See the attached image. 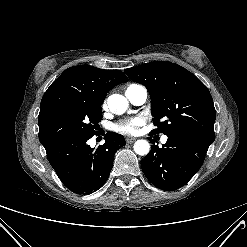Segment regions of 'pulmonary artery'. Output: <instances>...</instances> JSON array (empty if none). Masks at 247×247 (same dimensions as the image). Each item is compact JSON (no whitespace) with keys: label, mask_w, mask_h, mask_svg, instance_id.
<instances>
[{"label":"pulmonary artery","mask_w":247,"mask_h":247,"mask_svg":"<svg viewBox=\"0 0 247 247\" xmlns=\"http://www.w3.org/2000/svg\"><path fill=\"white\" fill-rule=\"evenodd\" d=\"M125 95L132 104L142 105L147 100L148 92L143 85L132 84L126 89ZM166 141L167 136H163L162 142L165 143Z\"/></svg>","instance_id":"pulmonary-artery-1"}]
</instances>
